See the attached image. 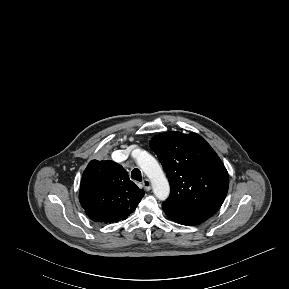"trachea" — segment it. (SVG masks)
I'll return each instance as SVG.
<instances>
[{"label": "trachea", "mask_w": 289, "mask_h": 289, "mask_svg": "<svg viewBox=\"0 0 289 289\" xmlns=\"http://www.w3.org/2000/svg\"><path fill=\"white\" fill-rule=\"evenodd\" d=\"M131 177L134 179V180H137L139 182L142 181V174H141V171L137 168L133 169L132 172H131Z\"/></svg>", "instance_id": "1"}]
</instances>
